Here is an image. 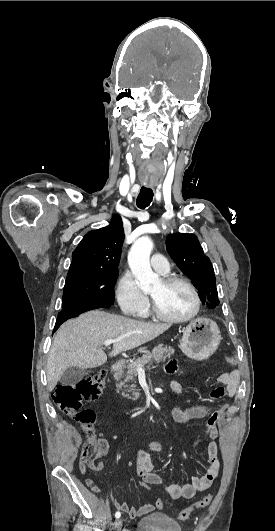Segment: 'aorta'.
<instances>
[{
    "label": "aorta",
    "instance_id": "obj_1",
    "mask_svg": "<svg viewBox=\"0 0 275 531\" xmlns=\"http://www.w3.org/2000/svg\"><path fill=\"white\" fill-rule=\"evenodd\" d=\"M152 249L153 241L150 237H140L133 243L128 255V265L142 291H153L162 287L161 279L151 269L149 259Z\"/></svg>",
    "mask_w": 275,
    "mask_h": 531
}]
</instances>
